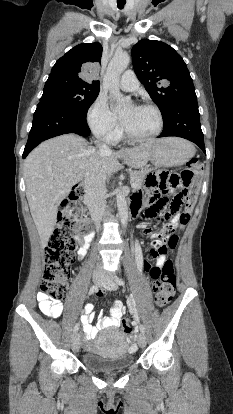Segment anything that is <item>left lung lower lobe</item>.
Returning a JSON list of instances; mask_svg holds the SVG:
<instances>
[{
	"instance_id": "0a47b994",
	"label": "left lung lower lobe",
	"mask_w": 233,
	"mask_h": 414,
	"mask_svg": "<svg viewBox=\"0 0 233 414\" xmlns=\"http://www.w3.org/2000/svg\"><path fill=\"white\" fill-rule=\"evenodd\" d=\"M167 136L190 140L206 154L197 98L179 101L163 118V131L159 137Z\"/></svg>"
}]
</instances>
